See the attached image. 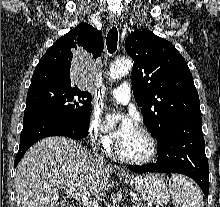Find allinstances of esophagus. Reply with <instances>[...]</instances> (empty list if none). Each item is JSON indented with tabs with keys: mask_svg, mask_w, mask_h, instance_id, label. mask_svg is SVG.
<instances>
[{
	"mask_svg": "<svg viewBox=\"0 0 220 207\" xmlns=\"http://www.w3.org/2000/svg\"><path fill=\"white\" fill-rule=\"evenodd\" d=\"M109 19H110V22L113 24H116L119 22V16L115 14L110 15Z\"/></svg>",
	"mask_w": 220,
	"mask_h": 207,
	"instance_id": "esophagus-1",
	"label": "esophagus"
}]
</instances>
